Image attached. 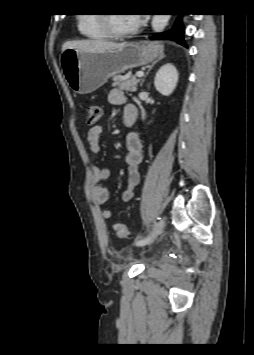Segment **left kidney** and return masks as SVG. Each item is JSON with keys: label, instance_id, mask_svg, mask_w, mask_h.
Instances as JSON below:
<instances>
[{"label": "left kidney", "instance_id": "1", "mask_svg": "<svg viewBox=\"0 0 254 355\" xmlns=\"http://www.w3.org/2000/svg\"><path fill=\"white\" fill-rule=\"evenodd\" d=\"M177 82L178 71L171 63H167L160 67L154 79L156 90L165 96H169L174 91Z\"/></svg>", "mask_w": 254, "mask_h": 355}]
</instances>
